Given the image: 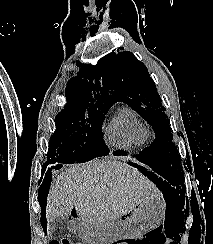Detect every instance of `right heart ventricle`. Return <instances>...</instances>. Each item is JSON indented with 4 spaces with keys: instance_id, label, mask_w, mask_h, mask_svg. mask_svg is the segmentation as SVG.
Wrapping results in <instances>:
<instances>
[{
    "instance_id": "obj_1",
    "label": "right heart ventricle",
    "mask_w": 213,
    "mask_h": 244,
    "mask_svg": "<svg viewBox=\"0 0 213 244\" xmlns=\"http://www.w3.org/2000/svg\"><path fill=\"white\" fill-rule=\"evenodd\" d=\"M106 143L119 149L143 148L151 137V131L139 114L129 105H120L104 125Z\"/></svg>"
}]
</instances>
